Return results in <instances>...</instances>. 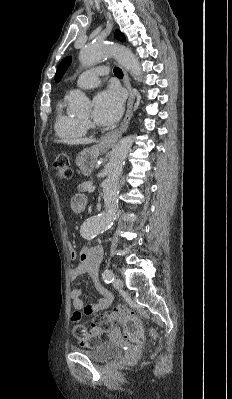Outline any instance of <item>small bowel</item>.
<instances>
[{"label": "small bowel", "instance_id": "1", "mask_svg": "<svg viewBox=\"0 0 232 399\" xmlns=\"http://www.w3.org/2000/svg\"><path fill=\"white\" fill-rule=\"evenodd\" d=\"M86 204V197L82 193H75L72 195L70 207L72 210H82ZM70 259H79L80 263L77 268L70 272L69 283L75 284L79 275L88 273L91 282L99 294V300L93 305H87L81 294L77 290H71L69 293L70 300L73 306L77 309L84 310L85 312H93L100 309L109 308L112 301L111 293L108 289L100 286L98 281V268L102 263V247L99 241L94 248L82 247L77 249L72 243L68 244Z\"/></svg>", "mask_w": 232, "mask_h": 399}]
</instances>
